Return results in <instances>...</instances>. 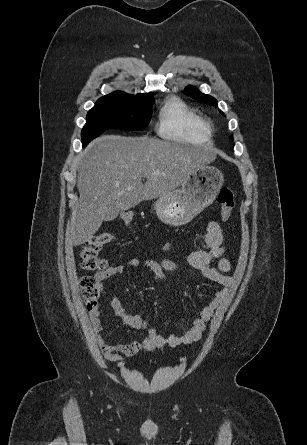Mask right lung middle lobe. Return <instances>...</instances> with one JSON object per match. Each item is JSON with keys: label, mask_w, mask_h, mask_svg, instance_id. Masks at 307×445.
<instances>
[{"label": "right lung middle lobe", "mask_w": 307, "mask_h": 445, "mask_svg": "<svg viewBox=\"0 0 307 445\" xmlns=\"http://www.w3.org/2000/svg\"><path fill=\"white\" fill-rule=\"evenodd\" d=\"M153 102L115 96L101 97L86 116L81 133L82 143L87 145L107 129L146 128L151 120Z\"/></svg>", "instance_id": "right-lung-middle-lobe-1"}]
</instances>
